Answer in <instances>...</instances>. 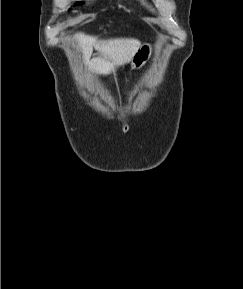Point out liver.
<instances>
[{
    "instance_id": "obj_1",
    "label": "liver",
    "mask_w": 243,
    "mask_h": 289,
    "mask_svg": "<svg viewBox=\"0 0 243 289\" xmlns=\"http://www.w3.org/2000/svg\"><path fill=\"white\" fill-rule=\"evenodd\" d=\"M75 39L81 49L84 63L91 71L104 75L115 73L116 67L129 63L141 46L140 41L133 38L98 40L97 37L78 33ZM93 47L97 56L90 60Z\"/></svg>"
}]
</instances>
